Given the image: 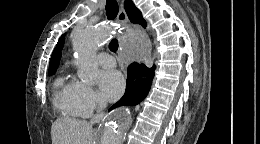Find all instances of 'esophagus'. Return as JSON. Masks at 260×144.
<instances>
[{
    "label": "esophagus",
    "mask_w": 260,
    "mask_h": 144,
    "mask_svg": "<svg viewBox=\"0 0 260 144\" xmlns=\"http://www.w3.org/2000/svg\"><path fill=\"white\" fill-rule=\"evenodd\" d=\"M117 22L120 26L127 25V23H128V18H127L126 12L123 9V7L120 8V11H119V14L117 17Z\"/></svg>",
    "instance_id": "34e87169"
}]
</instances>
